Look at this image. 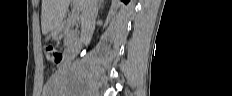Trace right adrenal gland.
<instances>
[{
  "label": "right adrenal gland",
  "instance_id": "obj_1",
  "mask_svg": "<svg viewBox=\"0 0 232 96\" xmlns=\"http://www.w3.org/2000/svg\"><path fill=\"white\" fill-rule=\"evenodd\" d=\"M103 2H104V0H99V6H98L99 9L103 7V6H102V3H103Z\"/></svg>",
  "mask_w": 232,
  "mask_h": 96
}]
</instances>
